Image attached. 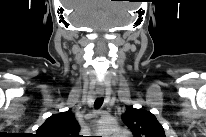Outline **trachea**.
<instances>
[{"mask_svg":"<svg viewBox=\"0 0 206 137\" xmlns=\"http://www.w3.org/2000/svg\"><path fill=\"white\" fill-rule=\"evenodd\" d=\"M102 104H103V98H102V97L97 98V99L95 100L94 107H95L96 109H99V108L102 106Z\"/></svg>","mask_w":206,"mask_h":137,"instance_id":"obj_1","label":"trachea"}]
</instances>
